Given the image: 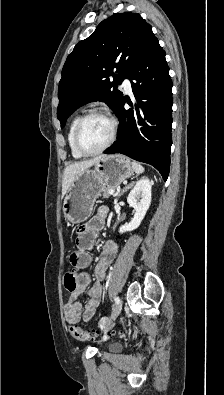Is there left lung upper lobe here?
I'll use <instances>...</instances> for the list:
<instances>
[{
	"label": "left lung upper lobe",
	"mask_w": 224,
	"mask_h": 395,
	"mask_svg": "<svg viewBox=\"0 0 224 395\" xmlns=\"http://www.w3.org/2000/svg\"><path fill=\"white\" fill-rule=\"evenodd\" d=\"M156 40L151 26L139 14L118 13L78 42L67 57L59 82L57 118L61 128L78 107L88 102L104 101L115 112L123 99L118 84Z\"/></svg>",
	"instance_id": "1"
}]
</instances>
